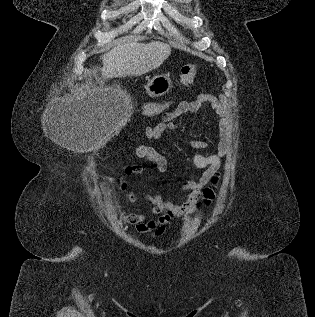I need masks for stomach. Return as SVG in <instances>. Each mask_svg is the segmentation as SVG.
Here are the masks:
<instances>
[{"mask_svg": "<svg viewBox=\"0 0 315 317\" xmlns=\"http://www.w3.org/2000/svg\"><path fill=\"white\" fill-rule=\"evenodd\" d=\"M173 83L170 75H154L147 80L144 86L146 93L150 97H160L168 93L172 88Z\"/></svg>", "mask_w": 315, "mask_h": 317, "instance_id": "0dacf381", "label": "stomach"}]
</instances>
